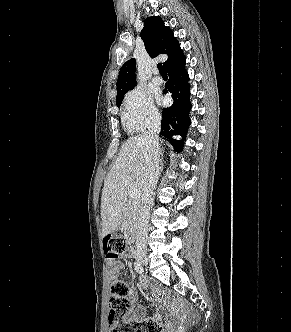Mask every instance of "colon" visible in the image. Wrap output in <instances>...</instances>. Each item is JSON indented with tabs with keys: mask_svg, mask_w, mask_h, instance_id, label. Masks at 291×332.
Wrapping results in <instances>:
<instances>
[{
	"mask_svg": "<svg viewBox=\"0 0 291 332\" xmlns=\"http://www.w3.org/2000/svg\"><path fill=\"white\" fill-rule=\"evenodd\" d=\"M104 249L107 258H118L126 252L127 240L122 235L109 234L104 238ZM129 292V287L122 281H115L111 286L110 332H161L159 324L152 319L133 321L126 318L131 308Z\"/></svg>",
	"mask_w": 291,
	"mask_h": 332,
	"instance_id": "1",
	"label": "colon"
}]
</instances>
